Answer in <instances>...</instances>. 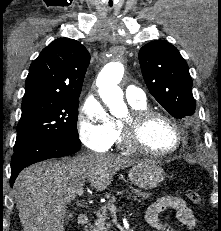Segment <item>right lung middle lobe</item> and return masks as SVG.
<instances>
[{
  "instance_id": "right-lung-middle-lobe-1",
  "label": "right lung middle lobe",
  "mask_w": 221,
  "mask_h": 231,
  "mask_svg": "<svg viewBox=\"0 0 221 231\" xmlns=\"http://www.w3.org/2000/svg\"><path fill=\"white\" fill-rule=\"evenodd\" d=\"M79 97H38L22 102L14 151L44 138L78 141Z\"/></svg>"
}]
</instances>
